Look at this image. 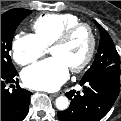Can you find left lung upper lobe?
Segmentation results:
<instances>
[{
    "label": "left lung upper lobe",
    "mask_w": 121,
    "mask_h": 121,
    "mask_svg": "<svg viewBox=\"0 0 121 121\" xmlns=\"http://www.w3.org/2000/svg\"><path fill=\"white\" fill-rule=\"evenodd\" d=\"M101 32V38L94 63L83 78L93 75L120 77V57L108 32L94 21Z\"/></svg>",
    "instance_id": "left-lung-upper-lobe-1"
}]
</instances>
